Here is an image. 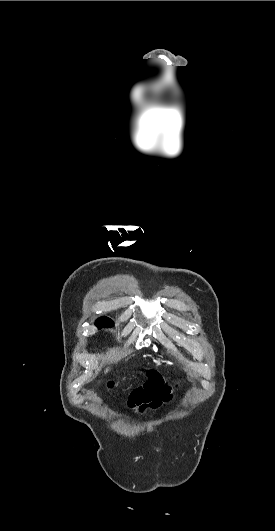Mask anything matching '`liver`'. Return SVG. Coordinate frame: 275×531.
<instances>
[{
  "instance_id": "liver-1",
  "label": "liver",
  "mask_w": 275,
  "mask_h": 531,
  "mask_svg": "<svg viewBox=\"0 0 275 531\" xmlns=\"http://www.w3.org/2000/svg\"><path fill=\"white\" fill-rule=\"evenodd\" d=\"M105 373H108V369H106Z\"/></svg>"
}]
</instances>
